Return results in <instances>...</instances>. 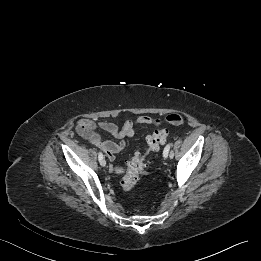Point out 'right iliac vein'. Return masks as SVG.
Here are the masks:
<instances>
[{
    "label": "right iliac vein",
    "mask_w": 261,
    "mask_h": 261,
    "mask_svg": "<svg viewBox=\"0 0 261 261\" xmlns=\"http://www.w3.org/2000/svg\"><path fill=\"white\" fill-rule=\"evenodd\" d=\"M99 163H100V165L103 166V167L106 166V161H105V159L99 160Z\"/></svg>",
    "instance_id": "obj_1"
}]
</instances>
